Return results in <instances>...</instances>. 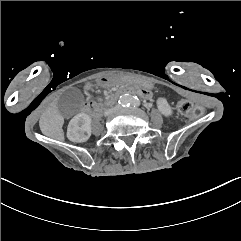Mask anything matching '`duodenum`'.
<instances>
[{
    "label": "duodenum",
    "instance_id": "410a0bca",
    "mask_svg": "<svg viewBox=\"0 0 241 241\" xmlns=\"http://www.w3.org/2000/svg\"><path fill=\"white\" fill-rule=\"evenodd\" d=\"M125 93L137 94L144 98H147L149 96V92L145 89L134 87V86H127L123 89H119L113 92L112 94H110L103 104L89 106L88 111L94 118H99L102 115L105 108L111 106L120 96H122Z\"/></svg>",
    "mask_w": 241,
    "mask_h": 241
}]
</instances>
